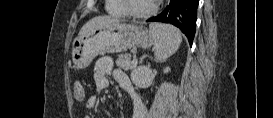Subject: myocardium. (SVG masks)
Returning a JSON list of instances; mask_svg holds the SVG:
<instances>
[{
    "label": "myocardium",
    "mask_w": 273,
    "mask_h": 118,
    "mask_svg": "<svg viewBox=\"0 0 273 118\" xmlns=\"http://www.w3.org/2000/svg\"><path fill=\"white\" fill-rule=\"evenodd\" d=\"M126 13L133 18L144 19L153 16L158 10V1H153L152 6L145 12H136L131 9L130 0H123Z\"/></svg>",
    "instance_id": "1"
}]
</instances>
